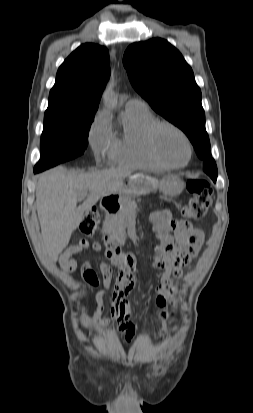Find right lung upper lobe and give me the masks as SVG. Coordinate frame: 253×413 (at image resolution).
Segmentation results:
<instances>
[{
  "label": "right lung upper lobe",
  "instance_id": "1",
  "mask_svg": "<svg viewBox=\"0 0 253 413\" xmlns=\"http://www.w3.org/2000/svg\"><path fill=\"white\" fill-rule=\"evenodd\" d=\"M109 77L108 50L81 45L59 67L45 116L95 115Z\"/></svg>",
  "mask_w": 253,
  "mask_h": 413
}]
</instances>
